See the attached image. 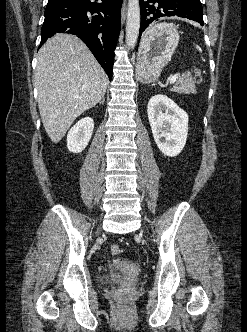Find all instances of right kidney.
<instances>
[{"label": "right kidney", "instance_id": "ca27d5eb", "mask_svg": "<svg viewBox=\"0 0 247 332\" xmlns=\"http://www.w3.org/2000/svg\"><path fill=\"white\" fill-rule=\"evenodd\" d=\"M94 129V121L90 117L79 120L68 132L67 148L72 153L82 152L88 145Z\"/></svg>", "mask_w": 247, "mask_h": 332}]
</instances>
